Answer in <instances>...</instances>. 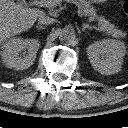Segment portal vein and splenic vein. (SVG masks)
<instances>
[{
	"mask_svg": "<svg viewBox=\"0 0 128 128\" xmlns=\"http://www.w3.org/2000/svg\"><path fill=\"white\" fill-rule=\"evenodd\" d=\"M67 3H72L78 7V14L79 16H82L80 13V5L76 0H64ZM33 5H38L41 7H46V8H54L60 4L59 0H33L32 1Z\"/></svg>",
	"mask_w": 128,
	"mask_h": 128,
	"instance_id": "18ae733b",
	"label": "portal vein and splenic vein"
}]
</instances>
